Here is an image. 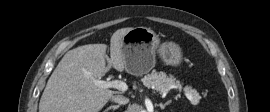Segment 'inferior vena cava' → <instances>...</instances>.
<instances>
[{"mask_svg": "<svg viewBox=\"0 0 270 112\" xmlns=\"http://www.w3.org/2000/svg\"><path fill=\"white\" fill-rule=\"evenodd\" d=\"M111 101L118 103V104L125 105L129 102V99L123 95H113L111 97Z\"/></svg>", "mask_w": 270, "mask_h": 112, "instance_id": "602c4592", "label": "inferior vena cava"}]
</instances>
